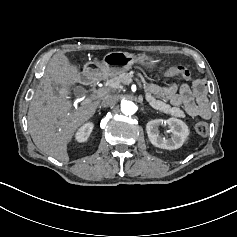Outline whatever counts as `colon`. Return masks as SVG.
Returning <instances> with one entry per match:
<instances>
[{
  "label": "colon",
  "instance_id": "1",
  "mask_svg": "<svg viewBox=\"0 0 237 237\" xmlns=\"http://www.w3.org/2000/svg\"><path fill=\"white\" fill-rule=\"evenodd\" d=\"M174 71L176 75L180 76L183 79L188 80L191 78L190 71L185 67L177 66L174 68ZM195 130L200 135H206L209 131V125L207 122L200 121L195 125Z\"/></svg>",
  "mask_w": 237,
  "mask_h": 237
}]
</instances>
